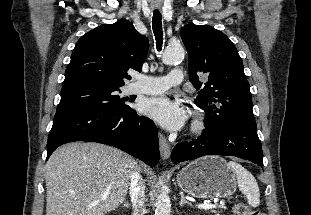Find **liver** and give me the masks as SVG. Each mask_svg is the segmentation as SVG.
<instances>
[{"label":"liver","mask_w":311,"mask_h":215,"mask_svg":"<svg viewBox=\"0 0 311 215\" xmlns=\"http://www.w3.org/2000/svg\"><path fill=\"white\" fill-rule=\"evenodd\" d=\"M134 158L103 144L72 142L46 164V215H104L123 203Z\"/></svg>","instance_id":"obj_1"}]
</instances>
